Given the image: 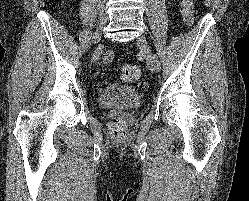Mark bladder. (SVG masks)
Instances as JSON below:
<instances>
[{
	"mask_svg": "<svg viewBox=\"0 0 249 201\" xmlns=\"http://www.w3.org/2000/svg\"><path fill=\"white\" fill-rule=\"evenodd\" d=\"M142 105L140 92L131 86L113 83L101 89L98 106L102 109L124 107L137 109Z\"/></svg>",
	"mask_w": 249,
	"mask_h": 201,
	"instance_id": "obj_1",
	"label": "bladder"
}]
</instances>
